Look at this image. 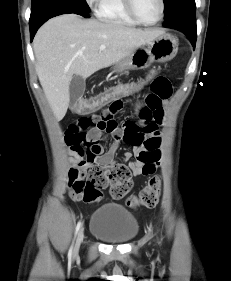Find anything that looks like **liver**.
I'll list each match as a JSON object with an SVG mask.
<instances>
[{"label":"liver","mask_w":231,"mask_h":281,"mask_svg":"<svg viewBox=\"0 0 231 281\" xmlns=\"http://www.w3.org/2000/svg\"><path fill=\"white\" fill-rule=\"evenodd\" d=\"M164 34L161 29H137L119 22L81 19L69 13L48 20L37 31L33 49L36 72L57 121L64 118L74 75L84 79L118 63L139 47ZM106 48L100 51V46Z\"/></svg>","instance_id":"6515ba94"}]
</instances>
